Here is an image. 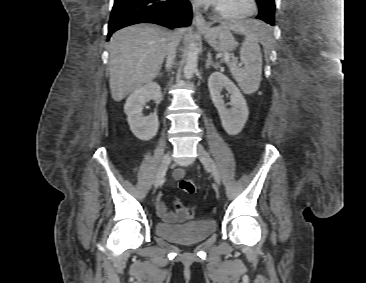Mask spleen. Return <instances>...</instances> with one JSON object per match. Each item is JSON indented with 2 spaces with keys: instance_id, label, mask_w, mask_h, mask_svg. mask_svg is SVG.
<instances>
[{
  "instance_id": "spleen-1",
  "label": "spleen",
  "mask_w": 366,
  "mask_h": 283,
  "mask_svg": "<svg viewBox=\"0 0 366 283\" xmlns=\"http://www.w3.org/2000/svg\"><path fill=\"white\" fill-rule=\"evenodd\" d=\"M254 28L259 27L257 22H247ZM259 36L256 31L246 34L240 49V60L244 67H238L235 61L228 63L233 78L245 94L256 92L260 86L262 74V54L258 44Z\"/></svg>"
}]
</instances>
